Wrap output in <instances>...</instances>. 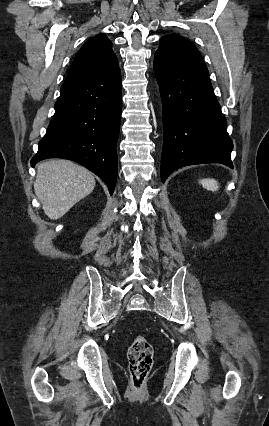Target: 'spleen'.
Masks as SVG:
<instances>
[{"mask_svg": "<svg viewBox=\"0 0 269 426\" xmlns=\"http://www.w3.org/2000/svg\"><path fill=\"white\" fill-rule=\"evenodd\" d=\"M200 183L202 184V186L212 192H216L219 189V183L214 180V179H203L200 181Z\"/></svg>", "mask_w": 269, "mask_h": 426, "instance_id": "obj_1", "label": "spleen"}]
</instances>
